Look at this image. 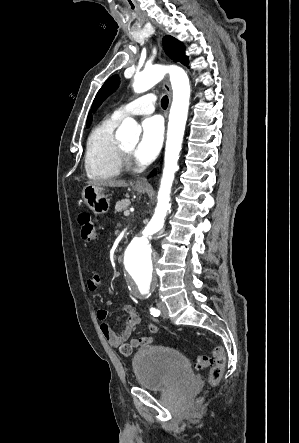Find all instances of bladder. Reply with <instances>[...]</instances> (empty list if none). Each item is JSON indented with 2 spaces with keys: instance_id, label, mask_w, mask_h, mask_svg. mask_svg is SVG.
<instances>
[{
  "instance_id": "obj_1",
  "label": "bladder",
  "mask_w": 299,
  "mask_h": 443,
  "mask_svg": "<svg viewBox=\"0 0 299 443\" xmlns=\"http://www.w3.org/2000/svg\"><path fill=\"white\" fill-rule=\"evenodd\" d=\"M136 383L149 390L167 388L194 377L186 357L179 351L152 346L138 351L132 359Z\"/></svg>"
}]
</instances>
